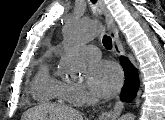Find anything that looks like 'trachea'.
Here are the masks:
<instances>
[{
	"label": "trachea",
	"mask_w": 165,
	"mask_h": 120,
	"mask_svg": "<svg viewBox=\"0 0 165 120\" xmlns=\"http://www.w3.org/2000/svg\"><path fill=\"white\" fill-rule=\"evenodd\" d=\"M91 2L93 3V4H95L96 3V0H91ZM103 45H104V47L107 49V50H111L112 49V39H111V37H109V36H107V35H104V37H103Z\"/></svg>",
	"instance_id": "trachea-1"
}]
</instances>
